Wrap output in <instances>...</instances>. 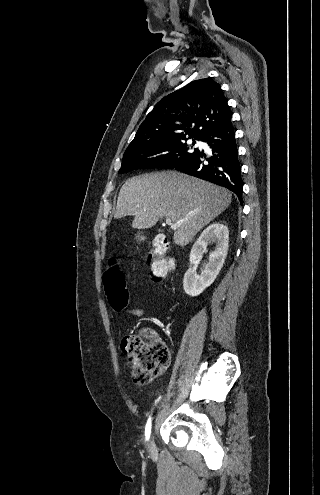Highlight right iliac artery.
Listing matches in <instances>:
<instances>
[{
	"instance_id": "obj_1",
	"label": "right iliac artery",
	"mask_w": 320,
	"mask_h": 495,
	"mask_svg": "<svg viewBox=\"0 0 320 495\" xmlns=\"http://www.w3.org/2000/svg\"><path fill=\"white\" fill-rule=\"evenodd\" d=\"M150 434H151V416L148 418V421H147L146 427H145L146 440H149Z\"/></svg>"
}]
</instances>
